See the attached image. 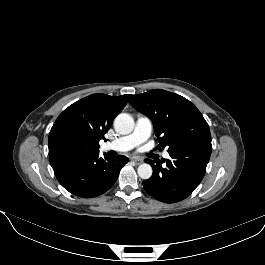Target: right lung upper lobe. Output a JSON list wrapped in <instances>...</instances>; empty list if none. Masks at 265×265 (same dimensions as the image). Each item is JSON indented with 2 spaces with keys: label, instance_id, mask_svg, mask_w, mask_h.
<instances>
[{
  "label": "right lung upper lobe",
  "instance_id": "1",
  "mask_svg": "<svg viewBox=\"0 0 265 265\" xmlns=\"http://www.w3.org/2000/svg\"><path fill=\"white\" fill-rule=\"evenodd\" d=\"M131 95H89L66 108L53 124L49 157L71 152L99 151V141Z\"/></svg>",
  "mask_w": 265,
  "mask_h": 265
}]
</instances>
